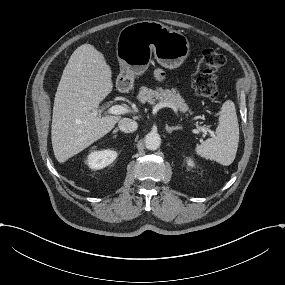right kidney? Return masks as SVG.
Listing matches in <instances>:
<instances>
[{
	"instance_id": "1",
	"label": "right kidney",
	"mask_w": 285,
	"mask_h": 285,
	"mask_svg": "<svg viewBox=\"0 0 285 285\" xmlns=\"http://www.w3.org/2000/svg\"><path fill=\"white\" fill-rule=\"evenodd\" d=\"M117 157L114 151H101L91 153L88 157V164L91 169H102L115 161Z\"/></svg>"
}]
</instances>
